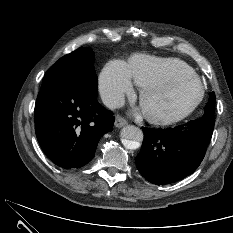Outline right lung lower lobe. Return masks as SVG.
Segmentation results:
<instances>
[{"label": "right lung lower lobe", "instance_id": "98d812e1", "mask_svg": "<svg viewBox=\"0 0 233 233\" xmlns=\"http://www.w3.org/2000/svg\"><path fill=\"white\" fill-rule=\"evenodd\" d=\"M97 85L63 77L43 79L35 105L36 136L56 165L80 168L95 155L100 138L112 130L113 113L97 101Z\"/></svg>", "mask_w": 233, "mask_h": 233}]
</instances>
